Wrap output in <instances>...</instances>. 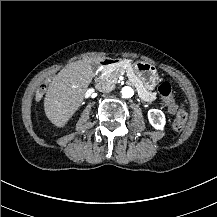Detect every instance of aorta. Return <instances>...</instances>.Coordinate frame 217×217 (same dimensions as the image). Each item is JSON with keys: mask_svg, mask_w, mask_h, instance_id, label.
<instances>
[{"mask_svg": "<svg viewBox=\"0 0 217 217\" xmlns=\"http://www.w3.org/2000/svg\"><path fill=\"white\" fill-rule=\"evenodd\" d=\"M121 93L124 98H131L134 95V90L129 86H124Z\"/></svg>", "mask_w": 217, "mask_h": 217, "instance_id": "obj_1", "label": "aorta"}]
</instances>
